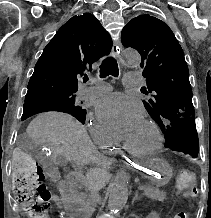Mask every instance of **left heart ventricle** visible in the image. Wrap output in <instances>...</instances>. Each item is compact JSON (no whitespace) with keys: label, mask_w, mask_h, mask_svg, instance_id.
I'll list each match as a JSON object with an SVG mask.
<instances>
[{"label":"left heart ventricle","mask_w":211,"mask_h":218,"mask_svg":"<svg viewBox=\"0 0 211 218\" xmlns=\"http://www.w3.org/2000/svg\"><path fill=\"white\" fill-rule=\"evenodd\" d=\"M127 144L138 150H148L155 143V135L145 122L137 131L126 139Z\"/></svg>","instance_id":"1"}]
</instances>
